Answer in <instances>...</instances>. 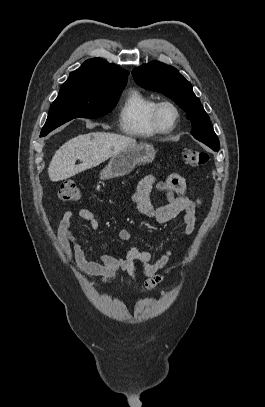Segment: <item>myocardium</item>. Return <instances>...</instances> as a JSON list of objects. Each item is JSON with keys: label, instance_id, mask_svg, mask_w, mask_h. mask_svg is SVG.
Returning a JSON list of instances; mask_svg holds the SVG:
<instances>
[{"label": "myocardium", "instance_id": "obj_1", "mask_svg": "<svg viewBox=\"0 0 265 407\" xmlns=\"http://www.w3.org/2000/svg\"><path fill=\"white\" fill-rule=\"evenodd\" d=\"M166 109L171 110L173 113V119L169 124H166L163 121V112ZM179 118L180 111L178 106L174 102L169 100L158 102L155 105L152 113L153 124L159 133H170L171 131H173L178 124Z\"/></svg>", "mask_w": 265, "mask_h": 407}]
</instances>
